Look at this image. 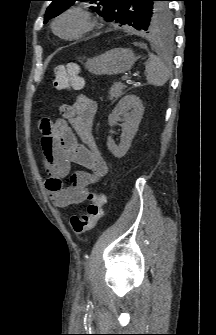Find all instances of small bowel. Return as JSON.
Wrapping results in <instances>:
<instances>
[{
  "label": "small bowel",
  "instance_id": "1",
  "mask_svg": "<svg viewBox=\"0 0 216 335\" xmlns=\"http://www.w3.org/2000/svg\"><path fill=\"white\" fill-rule=\"evenodd\" d=\"M61 106L58 109V114L62 115L60 119H43L38 124L42 135L40 150L48 175L45 187L56 207L85 202L89 187L108 171L93 135L96 102L80 94L72 104ZM72 164L88 171L70 174ZM66 178H69L68 186L64 185Z\"/></svg>",
  "mask_w": 216,
  "mask_h": 335
}]
</instances>
